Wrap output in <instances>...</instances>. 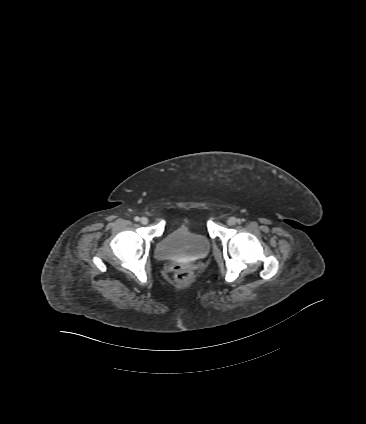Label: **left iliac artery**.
Returning <instances> with one entry per match:
<instances>
[{
  "label": "left iliac artery",
  "instance_id": "left-iliac-artery-1",
  "mask_svg": "<svg viewBox=\"0 0 366 424\" xmlns=\"http://www.w3.org/2000/svg\"><path fill=\"white\" fill-rule=\"evenodd\" d=\"M244 221H245V219H243V218L242 219H238V222L239 223L244 222Z\"/></svg>",
  "mask_w": 366,
  "mask_h": 424
}]
</instances>
